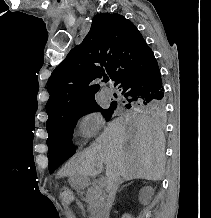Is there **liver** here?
Here are the masks:
<instances>
[{
  "label": "liver",
  "instance_id": "liver-1",
  "mask_svg": "<svg viewBox=\"0 0 211 218\" xmlns=\"http://www.w3.org/2000/svg\"><path fill=\"white\" fill-rule=\"evenodd\" d=\"M164 134L144 114H125L113 120L86 152L76 154L63 168L65 176L99 174L102 164L122 180H162Z\"/></svg>",
  "mask_w": 211,
  "mask_h": 218
}]
</instances>
